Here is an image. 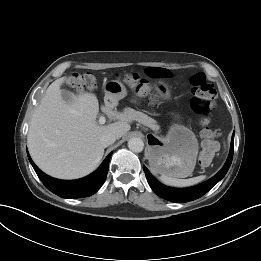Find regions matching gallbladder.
<instances>
[{
  "label": "gallbladder",
  "mask_w": 261,
  "mask_h": 261,
  "mask_svg": "<svg viewBox=\"0 0 261 261\" xmlns=\"http://www.w3.org/2000/svg\"><path fill=\"white\" fill-rule=\"evenodd\" d=\"M63 99L67 102V103H69L70 101H71V96H70V94L68 93V92H66V91H64L63 92Z\"/></svg>",
  "instance_id": "obj_1"
}]
</instances>
